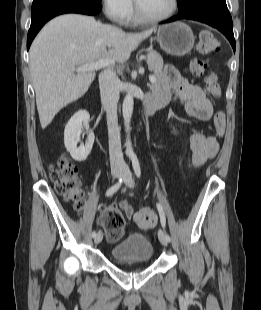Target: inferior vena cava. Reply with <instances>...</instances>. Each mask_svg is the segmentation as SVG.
<instances>
[{
    "label": "inferior vena cava",
    "mask_w": 261,
    "mask_h": 310,
    "mask_svg": "<svg viewBox=\"0 0 261 310\" xmlns=\"http://www.w3.org/2000/svg\"><path fill=\"white\" fill-rule=\"evenodd\" d=\"M99 86L101 102L107 116L110 163L112 167H122L124 160L117 118L120 81L117 74L110 68L105 69L99 75Z\"/></svg>",
    "instance_id": "602c4592"
}]
</instances>
